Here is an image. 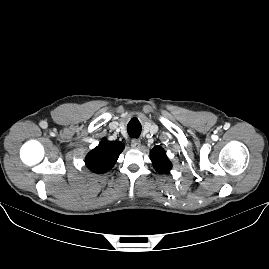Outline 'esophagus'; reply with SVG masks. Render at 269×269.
Segmentation results:
<instances>
[{
	"mask_svg": "<svg viewBox=\"0 0 269 269\" xmlns=\"http://www.w3.org/2000/svg\"><path fill=\"white\" fill-rule=\"evenodd\" d=\"M140 146H141V141H140L139 139H133V140L131 141V147H132L133 149H139Z\"/></svg>",
	"mask_w": 269,
	"mask_h": 269,
	"instance_id": "34e87169",
	"label": "esophagus"
}]
</instances>
